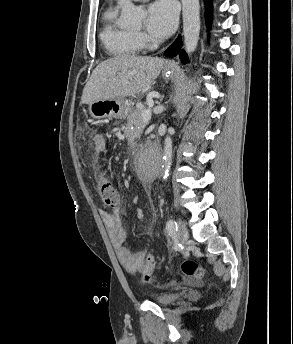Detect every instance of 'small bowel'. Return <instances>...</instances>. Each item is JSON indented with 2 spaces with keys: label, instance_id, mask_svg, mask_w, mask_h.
I'll return each instance as SVG.
<instances>
[{
  "label": "small bowel",
  "instance_id": "small-bowel-1",
  "mask_svg": "<svg viewBox=\"0 0 293 344\" xmlns=\"http://www.w3.org/2000/svg\"><path fill=\"white\" fill-rule=\"evenodd\" d=\"M93 148L99 153L103 152L105 149L104 140L100 137H95ZM102 217L118 260L127 270L135 271L143 264L145 252H132L126 247L127 232L123 227L121 210L116 208L112 212L104 211ZM153 225L154 220L145 225L147 233H151Z\"/></svg>",
  "mask_w": 293,
  "mask_h": 344
}]
</instances>
